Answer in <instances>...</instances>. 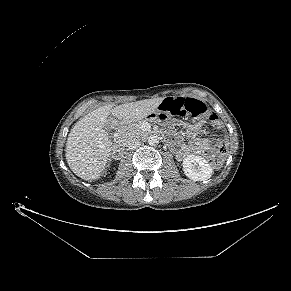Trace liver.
<instances>
[{
    "instance_id": "1",
    "label": "liver",
    "mask_w": 291,
    "mask_h": 291,
    "mask_svg": "<svg viewBox=\"0 0 291 291\" xmlns=\"http://www.w3.org/2000/svg\"><path fill=\"white\" fill-rule=\"evenodd\" d=\"M162 97L136 102L101 106L81 118L71 129L65 149L70 169L86 181L97 179L104 170L111 152V140L104 129L109 115L125 121L136 122L155 112Z\"/></svg>"
}]
</instances>
